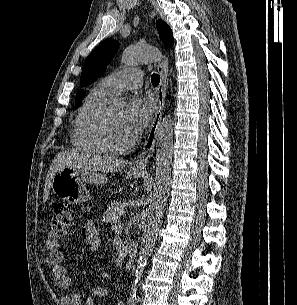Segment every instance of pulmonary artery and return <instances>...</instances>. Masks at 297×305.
Wrapping results in <instances>:
<instances>
[{
    "instance_id": "e3ab8cb5",
    "label": "pulmonary artery",
    "mask_w": 297,
    "mask_h": 305,
    "mask_svg": "<svg viewBox=\"0 0 297 305\" xmlns=\"http://www.w3.org/2000/svg\"><path fill=\"white\" fill-rule=\"evenodd\" d=\"M143 73L139 69H123L103 78L98 86L113 97L124 90H135L142 86Z\"/></svg>"
}]
</instances>
